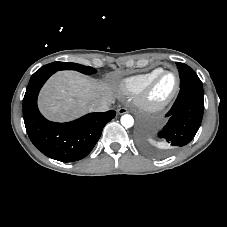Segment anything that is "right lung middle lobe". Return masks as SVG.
<instances>
[{
	"mask_svg": "<svg viewBox=\"0 0 227 227\" xmlns=\"http://www.w3.org/2000/svg\"><path fill=\"white\" fill-rule=\"evenodd\" d=\"M59 70H76L87 75L96 73V70L92 67L83 66L76 63L53 62L41 67L34 74L41 73V72H48V71L56 72Z\"/></svg>",
	"mask_w": 227,
	"mask_h": 227,
	"instance_id": "obj_1",
	"label": "right lung middle lobe"
}]
</instances>
